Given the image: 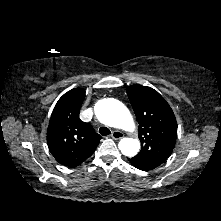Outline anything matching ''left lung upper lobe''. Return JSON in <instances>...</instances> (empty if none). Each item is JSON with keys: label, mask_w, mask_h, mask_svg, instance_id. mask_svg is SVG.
I'll list each match as a JSON object with an SVG mask.
<instances>
[{"label": "left lung upper lobe", "mask_w": 221, "mask_h": 221, "mask_svg": "<svg viewBox=\"0 0 221 221\" xmlns=\"http://www.w3.org/2000/svg\"><path fill=\"white\" fill-rule=\"evenodd\" d=\"M127 94L137 117L142 144L135 157L159 166L170 156L176 142L175 115L166 100L150 87L128 86Z\"/></svg>", "instance_id": "5c2ea615"}]
</instances>
